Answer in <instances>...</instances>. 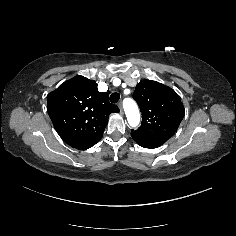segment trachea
Listing matches in <instances>:
<instances>
[{"label": "trachea", "mask_w": 236, "mask_h": 236, "mask_svg": "<svg viewBox=\"0 0 236 236\" xmlns=\"http://www.w3.org/2000/svg\"><path fill=\"white\" fill-rule=\"evenodd\" d=\"M120 94L118 92H114L110 95V101L112 103H117L119 101Z\"/></svg>", "instance_id": "obj_1"}]
</instances>
